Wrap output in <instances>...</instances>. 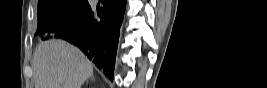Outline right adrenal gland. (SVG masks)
Returning a JSON list of instances; mask_svg holds the SVG:
<instances>
[{
	"label": "right adrenal gland",
	"instance_id": "obj_1",
	"mask_svg": "<svg viewBox=\"0 0 267 88\" xmlns=\"http://www.w3.org/2000/svg\"><path fill=\"white\" fill-rule=\"evenodd\" d=\"M91 79H94L93 75L91 76Z\"/></svg>",
	"mask_w": 267,
	"mask_h": 88
}]
</instances>
